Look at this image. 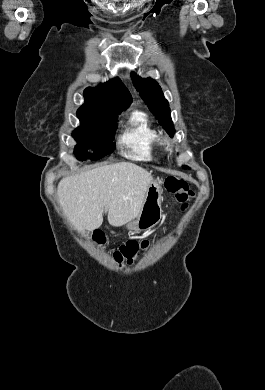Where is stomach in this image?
<instances>
[{"label": "stomach", "mask_w": 265, "mask_h": 390, "mask_svg": "<svg viewBox=\"0 0 265 390\" xmlns=\"http://www.w3.org/2000/svg\"><path fill=\"white\" fill-rule=\"evenodd\" d=\"M162 186L159 181L149 185L139 215L128 222L126 228L130 231L142 232L156 226L162 218Z\"/></svg>", "instance_id": "obj_1"}]
</instances>
